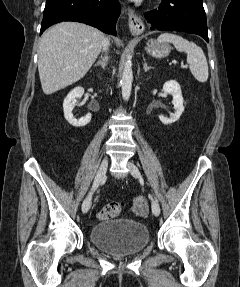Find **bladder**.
Segmentation results:
<instances>
[{"label":"bladder","mask_w":240,"mask_h":287,"mask_svg":"<svg viewBox=\"0 0 240 287\" xmlns=\"http://www.w3.org/2000/svg\"><path fill=\"white\" fill-rule=\"evenodd\" d=\"M89 240L104 252L126 256L142 251L149 244L150 230L142 222L114 219L92 226Z\"/></svg>","instance_id":"1"}]
</instances>
